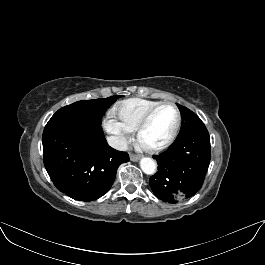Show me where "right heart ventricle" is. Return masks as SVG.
I'll use <instances>...</instances> for the list:
<instances>
[{
  "mask_svg": "<svg viewBox=\"0 0 265 265\" xmlns=\"http://www.w3.org/2000/svg\"><path fill=\"white\" fill-rule=\"evenodd\" d=\"M158 103L160 101L145 98H130L118 102L113 107L112 113L127 129L134 131L143 115Z\"/></svg>",
  "mask_w": 265,
  "mask_h": 265,
  "instance_id": "obj_1",
  "label": "right heart ventricle"
}]
</instances>
